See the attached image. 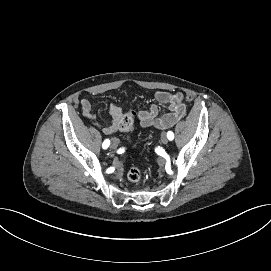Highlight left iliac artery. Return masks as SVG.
<instances>
[{
	"label": "left iliac artery",
	"instance_id": "obj_1",
	"mask_svg": "<svg viewBox=\"0 0 271 271\" xmlns=\"http://www.w3.org/2000/svg\"><path fill=\"white\" fill-rule=\"evenodd\" d=\"M167 137H168V139H169L170 141L173 140V139H174V133H173L172 131H168Z\"/></svg>",
	"mask_w": 271,
	"mask_h": 271
}]
</instances>
